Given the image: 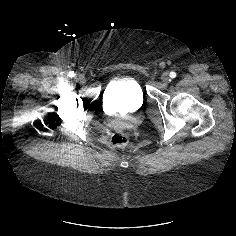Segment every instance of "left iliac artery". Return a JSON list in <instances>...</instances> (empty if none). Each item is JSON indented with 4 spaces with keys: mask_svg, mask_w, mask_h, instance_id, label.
Listing matches in <instances>:
<instances>
[{
    "mask_svg": "<svg viewBox=\"0 0 236 236\" xmlns=\"http://www.w3.org/2000/svg\"><path fill=\"white\" fill-rule=\"evenodd\" d=\"M170 77H171V78H175V77H176V73H175V72H173V71H172V72H170Z\"/></svg>",
    "mask_w": 236,
    "mask_h": 236,
    "instance_id": "44dca946",
    "label": "left iliac artery"
}]
</instances>
